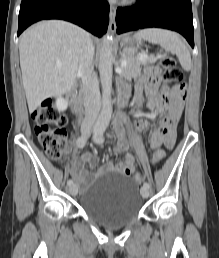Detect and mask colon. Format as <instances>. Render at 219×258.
Wrapping results in <instances>:
<instances>
[{
	"label": "colon",
	"mask_w": 219,
	"mask_h": 258,
	"mask_svg": "<svg viewBox=\"0 0 219 258\" xmlns=\"http://www.w3.org/2000/svg\"><path fill=\"white\" fill-rule=\"evenodd\" d=\"M163 67V79L167 84H175L174 90L177 94L185 91V84L182 82L183 73L177 66L176 60L169 54H163L161 59ZM32 118L35 121L34 132L43 147L46 155L55 161L63 158L67 138L65 125L67 119L52 104L50 99H45L39 107L32 111ZM165 159V152L157 149L153 154V163L160 166ZM144 176L136 173L133 180L136 183L142 182Z\"/></svg>",
	"instance_id": "obj_1"
}]
</instances>
